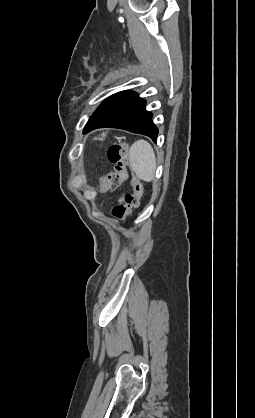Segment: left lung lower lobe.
<instances>
[{
    "mask_svg": "<svg viewBox=\"0 0 255 418\" xmlns=\"http://www.w3.org/2000/svg\"><path fill=\"white\" fill-rule=\"evenodd\" d=\"M145 103L135 92H118L97 108L88 120L84 133L96 128L111 127L141 133L155 142L158 129L152 122V113L146 111Z\"/></svg>",
    "mask_w": 255,
    "mask_h": 418,
    "instance_id": "obj_1",
    "label": "left lung lower lobe"
}]
</instances>
